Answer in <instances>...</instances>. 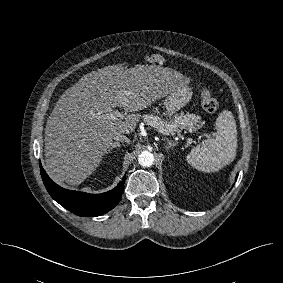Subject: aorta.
I'll return each mask as SVG.
<instances>
[{"label": "aorta", "mask_w": 283, "mask_h": 283, "mask_svg": "<svg viewBox=\"0 0 283 283\" xmlns=\"http://www.w3.org/2000/svg\"><path fill=\"white\" fill-rule=\"evenodd\" d=\"M138 162L144 167H150L154 163V155L149 151H142L138 157Z\"/></svg>", "instance_id": "762f6f07"}]
</instances>
